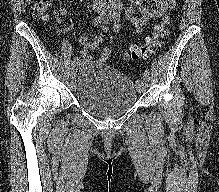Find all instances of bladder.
<instances>
[{
    "mask_svg": "<svg viewBox=\"0 0 219 192\" xmlns=\"http://www.w3.org/2000/svg\"><path fill=\"white\" fill-rule=\"evenodd\" d=\"M137 85L112 65L91 62L77 78L75 99L90 114L116 118L138 101Z\"/></svg>",
    "mask_w": 219,
    "mask_h": 192,
    "instance_id": "31cf9c89",
    "label": "bladder"
}]
</instances>
